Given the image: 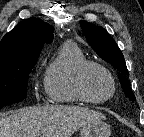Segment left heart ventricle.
Returning a JSON list of instances; mask_svg holds the SVG:
<instances>
[{"label": "left heart ventricle", "instance_id": "left-heart-ventricle-1", "mask_svg": "<svg viewBox=\"0 0 144 137\" xmlns=\"http://www.w3.org/2000/svg\"><path fill=\"white\" fill-rule=\"evenodd\" d=\"M85 88L91 97L101 99L111 93L112 85L101 70L92 68L85 76Z\"/></svg>", "mask_w": 144, "mask_h": 137}]
</instances>
